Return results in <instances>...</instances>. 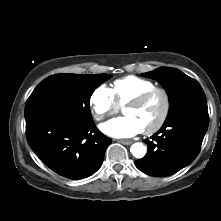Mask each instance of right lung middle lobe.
Returning <instances> with one entry per match:
<instances>
[{
    "label": "right lung middle lobe",
    "mask_w": 221,
    "mask_h": 221,
    "mask_svg": "<svg viewBox=\"0 0 221 221\" xmlns=\"http://www.w3.org/2000/svg\"><path fill=\"white\" fill-rule=\"evenodd\" d=\"M111 78L107 74H57L44 79L34 89L25 105V119L44 110H53L77 122L88 124L93 119L89 109L94 90Z\"/></svg>",
    "instance_id": "right-lung-middle-lobe-1"
}]
</instances>
